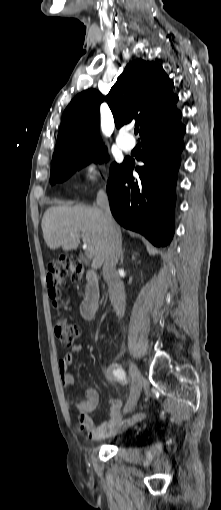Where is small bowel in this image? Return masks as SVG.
Instances as JSON below:
<instances>
[{
    "label": "small bowel",
    "instance_id": "c3829d8e",
    "mask_svg": "<svg viewBox=\"0 0 221 510\" xmlns=\"http://www.w3.org/2000/svg\"><path fill=\"white\" fill-rule=\"evenodd\" d=\"M82 350L83 345L77 343L73 346L71 352L66 353L58 362L60 380L65 388L71 387L74 383V375L70 371V366L74 359V353L81 352ZM109 403L107 419L101 424H96L91 418V414L97 410L100 404L99 391L95 387L85 388L83 399L70 401L71 407L79 414L81 429L86 432L89 438L99 440L111 437L140 421L145 415L144 412H137L131 417L123 419L121 415L123 402L120 399L112 398Z\"/></svg>",
    "mask_w": 221,
    "mask_h": 510
}]
</instances>
